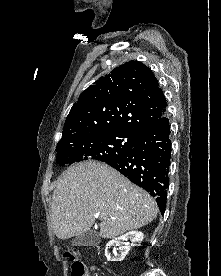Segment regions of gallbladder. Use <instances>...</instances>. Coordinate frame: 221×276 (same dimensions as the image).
<instances>
[{
  "mask_svg": "<svg viewBox=\"0 0 221 276\" xmlns=\"http://www.w3.org/2000/svg\"><path fill=\"white\" fill-rule=\"evenodd\" d=\"M99 243V237L95 231H88L76 236L72 240L75 246H94Z\"/></svg>",
  "mask_w": 221,
  "mask_h": 276,
  "instance_id": "gallbladder-1",
  "label": "gallbladder"
}]
</instances>
